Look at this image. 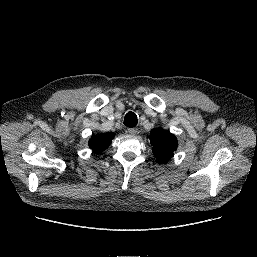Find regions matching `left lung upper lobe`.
Wrapping results in <instances>:
<instances>
[{"label": "left lung upper lobe", "mask_w": 257, "mask_h": 257, "mask_svg": "<svg viewBox=\"0 0 257 257\" xmlns=\"http://www.w3.org/2000/svg\"><path fill=\"white\" fill-rule=\"evenodd\" d=\"M149 140L153 146L155 157L162 163H167L177 149V138L162 128L152 129Z\"/></svg>", "instance_id": "left-lung-upper-lobe-1"}]
</instances>
